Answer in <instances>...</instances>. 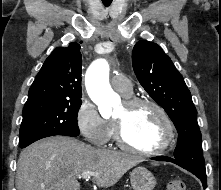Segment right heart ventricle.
<instances>
[{
    "instance_id": "1",
    "label": "right heart ventricle",
    "mask_w": 221,
    "mask_h": 190,
    "mask_svg": "<svg viewBox=\"0 0 221 190\" xmlns=\"http://www.w3.org/2000/svg\"><path fill=\"white\" fill-rule=\"evenodd\" d=\"M125 98H130L132 96V94L130 95H124ZM111 138L116 139V132H115V127H114V123H112V134H111Z\"/></svg>"
}]
</instances>
